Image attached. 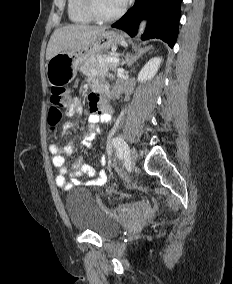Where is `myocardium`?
I'll use <instances>...</instances> for the list:
<instances>
[{
  "mask_svg": "<svg viewBox=\"0 0 233 284\" xmlns=\"http://www.w3.org/2000/svg\"><path fill=\"white\" fill-rule=\"evenodd\" d=\"M85 1V8L87 12L91 15L94 20L109 22L118 19L123 15L125 12V5H122L119 10L112 14H105L103 13L99 7L97 0H84Z\"/></svg>",
  "mask_w": 233,
  "mask_h": 284,
  "instance_id": "1",
  "label": "myocardium"
}]
</instances>
